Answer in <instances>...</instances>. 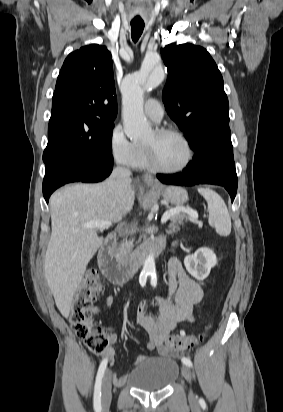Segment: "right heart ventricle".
<instances>
[{"label": "right heart ventricle", "mask_w": 283, "mask_h": 412, "mask_svg": "<svg viewBox=\"0 0 283 412\" xmlns=\"http://www.w3.org/2000/svg\"><path fill=\"white\" fill-rule=\"evenodd\" d=\"M132 166L137 169H148L149 168L146 157H145L143 145H140V144L137 145V156Z\"/></svg>", "instance_id": "e07e8e85"}]
</instances>
